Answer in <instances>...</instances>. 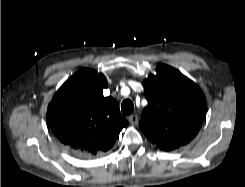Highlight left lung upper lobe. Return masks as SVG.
<instances>
[{
  "label": "left lung upper lobe",
  "instance_id": "obj_1",
  "mask_svg": "<svg viewBox=\"0 0 245 187\" xmlns=\"http://www.w3.org/2000/svg\"><path fill=\"white\" fill-rule=\"evenodd\" d=\"M148 106L140 128L160 149L170 151L188 144L202 126L206 99L202 90L181 72L168 65L144 80Z\"/></svg>",
  "mask_w": 245,
  "mask_h": 187
}]
</instances>
